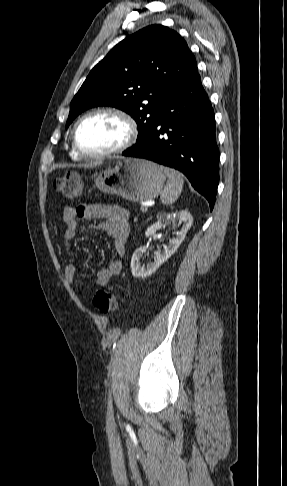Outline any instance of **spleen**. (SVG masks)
Masks as SVG:
<instances>
[{
	"instance_id": "1",
	"label": "spleen",
	"mask_w": 287,
	"mask_h": 486,
	"mask_svg": "<svg viewBox=\"0 0 287 486\" xmlns=\"http://www.w3.org/2000/svg\"><path fill=\"white\" fill-rule=\"evenodd\" d=\"M162 170L168 177V182L161 192L160 199L163 204L170 205L180 196L183 189L184 179L183 175L174 169L162 167Z\"/></svg>"
}]
</instances>
